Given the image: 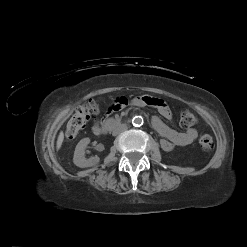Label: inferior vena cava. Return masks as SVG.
Listing matches in <instances>:
<instances>
[{"mask_svg":"<svg viewBox=\"0 0 247 247\" xmlns=\"http://www.w3.org/2000/svg\"><path fill=\"white\" fill-rule=\"evenodd\" d=\"M127 129V125L126 124H120L117 127H115L112 131V134L114 136L120 134L121 132L125 131Z\"/></svg>","mask_w":247,"mask_h":247,"instance_id":"obj_1","label":"inferior vena cava"}]
</instances>
